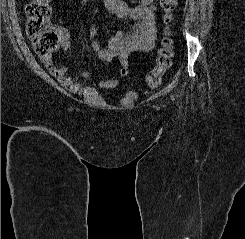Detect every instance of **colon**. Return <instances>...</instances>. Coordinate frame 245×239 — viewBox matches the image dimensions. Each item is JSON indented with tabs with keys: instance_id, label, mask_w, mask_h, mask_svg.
I'll use <instances>...</instances> for the list:
<instances>
[{
	"instance_id": "obj_1",
	"label": "colon",
	"mask_w": 245,
	"mask_h": 239,
	"mask_svg": "<svg viewBox=\"0 0 245 239\" xmlns=\"http://www.w3.org/2000/svg\"><path fill=\"white\" fill-rule=\"evenodd\" d=\"M163 18L166 24L165 35L156 57V64L145 76V82L150 88H157L162 83V77L171 67L174 56V40L170 24L177 0H160ZM27 15L26 33L34 51L40 57L50 56L59 46V36L50 27L52 16L51 0H31L25 8Z\"/></svg>"
}]
</instances>
